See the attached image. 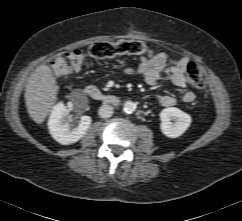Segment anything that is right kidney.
Listing matches in <instances>:
<instances>
[{
	"label": "right kidney",
	"instance_id": "obj_1",
	"mask_svg": "<svg viewBox=\"0 0 242 221\" xmlns=\"http://www.w3.org/2000/svg\"><path fill=\"white\" fill-rule=\"evenodd\" d=\"M67 114L66 106L60 102L53 107L48 121L50 134L62 145L73 144L80 140L86 134L92 122L90 116H82L79 125L71 129L70 124L65 120Z\"/></svg>",
	"mask_w": 242,
	"mask_h": 221
}]
</instances>
